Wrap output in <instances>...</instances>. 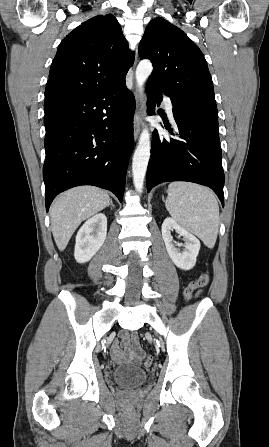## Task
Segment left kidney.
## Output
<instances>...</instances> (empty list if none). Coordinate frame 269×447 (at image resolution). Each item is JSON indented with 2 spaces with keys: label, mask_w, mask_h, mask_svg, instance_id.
Instances as JSON below:
<instances>
[{
  "label": "left kidney",
  "mask_w": 269,
  "mask_h": 447,
  "mask_svg": "<svg viewBox=\"0 0 269 447\" xmlns=\"http://www.w3.org/2000/svg\"><path fill=\"white\" fill-rule=\"evenodd\" d=\"M172 229H175L179 235H183L184 243H177V245H183L184 251H180L179 247H175L173 243V237L171 235ZM162 237L165 241L166 249L175 265L181 267V269H192L196 263V257L200 249V241L183 229L181 225L176 224L172 218H166L162 224Z\"/></svg>",
  "instance_id": "1"
}]
</instances>
